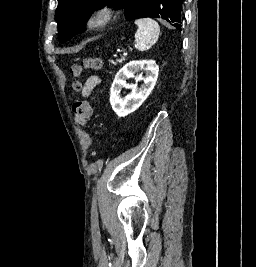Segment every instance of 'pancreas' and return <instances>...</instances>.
Listing matches in <instances>:
<instances>
[{"label": "pancreas", "instance_id": "obj_1", "mask_svg": "<svg viewBox=\"0 0 256 267\" xmlns=\"http://www.w3.org/2000/svg\"><path fill=\"white\" fill-rule=\"evenodd\" d=\"M122 62H124V58L123 60H117V62H114L113 66H117V64H122Z\"/></svg>", "mask_w": 256, "mask_h": 267}]
</instances>
